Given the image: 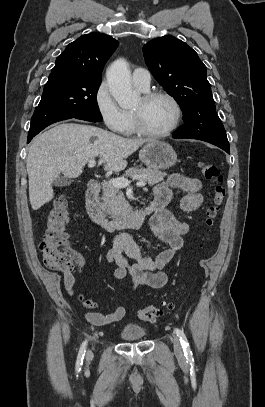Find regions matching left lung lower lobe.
Listing matches in <instances>:
<instances>
[{
    "label": "left lung lower lobe",
    "mask_w": 265,
    "mask_h": 407,
    "mask_svg": "<svg viewBox=\"0 0 265 407\" xmlns=\"http://www.w3.org/2000/svg\"><path fill=\"white\" fill-rule=\"evenodd\" d=\"M173 137H174V136H173ZM174 138H177V137H174ZM216 146H218V145H216ZM218 147H220L221 149L225 150L227 153H230L229 147H225V146H222V145H219Z\"/></svg>",
    "instance_id": "1"
}]
</instances>
